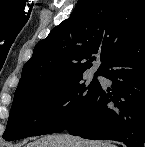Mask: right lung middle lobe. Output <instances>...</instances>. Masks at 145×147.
Here are the masks:
<instances>
[{
    "mask_svg": "<svg viewBox=\"0 0 145 147\" xmlns=\"http://www.w3.org/2000/svg\"><path fill=\"white\" fill-rule=\"evenodd\" d=\"M90 85L82 83V75L54 87H37L16 92L5 140H17L64 131L88 106L99 89L97 76Z\"/></svg>",
    "mask_w": 145,
    "mask_h": 147,
    "instance_id": "1",
    "label": "right lung middle lobe"
}]
</instances>
